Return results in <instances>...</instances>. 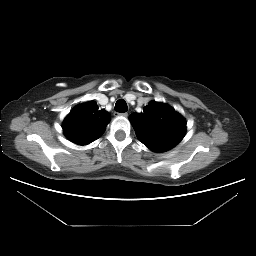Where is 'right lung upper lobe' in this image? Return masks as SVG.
<instances>
[{"mask_svg": "<svg viewBox=\"0 0 256 256\" xmlns=\"http://www.w3.org/2000/svg\"><path fill=\"white\" fill-rule=\"evenodd\" d=\"M110 115L105 110H98L94 101L74 108L63 122L66 137L78 145H87L98 139L105 131Z\"/></svg>", "mask_w": 256, "mask_h": 256, "instance_id": "1", "label": "right lung upper lobe"}]
</instances>
